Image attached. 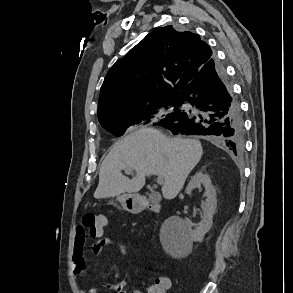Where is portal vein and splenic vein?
<instances>
[{"label":"portal vein and splenic vein","instance_id":"obj_1","mask_svg":"<svg viewBox=\"0 0 293 293\" xmlns=\"http://www.w3.org/2000/svg\"><path fill=\"white\" fill-rule=\"evenodd\" d=\"M156 181L158 184H163L164 180L161 176H157Z\"/></svg>","mask_w":293,"mask_h":293}]
</instances>
